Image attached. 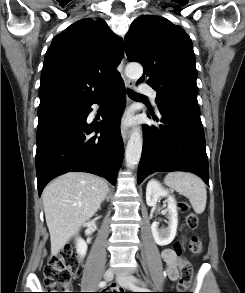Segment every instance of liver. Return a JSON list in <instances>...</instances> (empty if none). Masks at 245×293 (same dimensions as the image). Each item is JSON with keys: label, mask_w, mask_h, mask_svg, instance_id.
<instances>
[{"label": "liver", "mask_w": 245, "mask_h": 293, "mask_svg": "<svg viewBox=\"0 0 245 293\" xmlns=\"http://www.w3.org/2000/svg\"><path fill=\"white\" fill-rule=\"evenodd\" d=\"M108 192L105 180L83 172L66 173L46 186L42 199L53 256L98 211Z\"/></svg>", "instance_id": "1"}]
</instances>
